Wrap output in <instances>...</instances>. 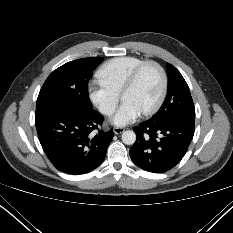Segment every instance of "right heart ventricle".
<instances>
[{"mask_svg": "<svg viewBox=\"0 0 233 233\" xmlns=\"http://www.w3.org/2000/svg\"><path fill=\"white\" fill-rule=\"evenodd\" d=\"M143 61L135 56L115 57L105 62L98 69L96 76L99 81L119 94L132 71Z\"/></svg>", "mask_w": 233, "mask_h": 233, "instance_id": "obj_1", "label": "right heart ventricle"}]
</instances>
